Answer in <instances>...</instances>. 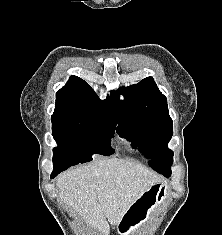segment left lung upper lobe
Returning <instances> with one entry per match:
<instances>
[{"label": "left lung upper lobe", "instance_id": "1", "mask_svg": "<svg viewBox=\"0 0 222 235\" xmlns=\"http://www.w3.org/2000/svg\"><path fill=\"white\" fill-rule=\"evenodd\" d=\"M119 93L125 96L122 101ZM117 114L118 132L134 142L150 158L149 166L170 177L173 152L167 144L173 135L167 98L159 91L152 77L122 87L111 93Z\"/></svg>", "mask_w": 222, "mask_h": 235}]
</instances>
